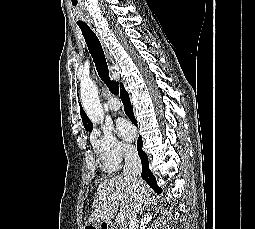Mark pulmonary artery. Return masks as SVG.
<instances>
[{
    "instance_id": "e3ab8cb5",
    "label": "pulmonary artery",
    "mask_w": 255,
    "mask_h": 229,
    "mask_svg": "<svg viewBox=\"0 0 255 229\" xmlns=\"http://www.w3.org/2000/svg\"><path fill=\"white\" fill-rule=\"evenodd\" d=\"M107 105H108L109 109L112 111H118L121 106L120 102L114 97H109V99L107 101Z\"/></svg>"
}]
</instances>
